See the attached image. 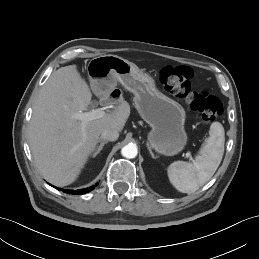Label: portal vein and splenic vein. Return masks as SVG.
<instances>
[{
    "label": "portal vein and splenic vein",
    "instance_id": "obj_1",
    "mask_svg": "<svg viewBox=\"0 0 259 259\" xmlns=\"http://www.w3.org/2000/svg\"><path fill=\"white\" fill-rule=\"evenodd\" d=\"M105 115H106V113L102 109H92L89 112L74 113L73 117L75 119H78V120H80L82 122V130H84V128L86 127V124L89 121L102 118ZM186 156L190 157L192 159L190 152L186 153Z\"/></svg>",
    "mask_w": 259,
    "mask_h": 259
}]
</instances>
